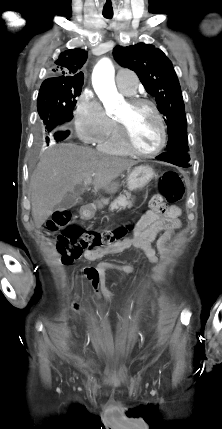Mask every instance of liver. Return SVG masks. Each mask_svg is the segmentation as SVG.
I'll return each instance as SVG.
<instances>
[{"mask_svg": "<svg viewBox=\"0 0 222 429\" xmlns=\"http://www.w3.org/2000/svg\"><path fill=\"white\" fill-rule=\"evenodd\" d=\"M136 163L73 144L48 148L41 155L30 178L35 226L40 228L43 225L66 194L71 192L78 195L75 193L76 186L82 185L86 180H91L95 189L115 192L118 183L114 181Z\"/></svg>", "mask_w": 222, "mask_h": 429, "instance_id": "1", "label": "liver"}]
</instances>
